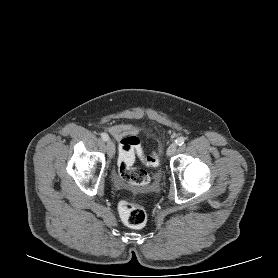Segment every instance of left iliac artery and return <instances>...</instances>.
<instances>
[{
    "label": "left iliac artery",
    "mask_w": 278,
    "mask_h": 278,
    "mask_svg": "<svg viewBox=\"0 0 278 278\" xmlns=\"http://www.w3.org/2000/svg\"><path fill=\"white\" fill-rule=\"evenodd\" d=\"M175 142H176L177 145L181 146V145L184 144L185 138L184 137H179V138L176 139Z\"/></svg>",
    "instance_id": "1"
}]
</instances>
